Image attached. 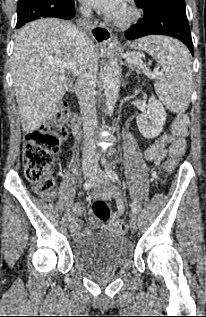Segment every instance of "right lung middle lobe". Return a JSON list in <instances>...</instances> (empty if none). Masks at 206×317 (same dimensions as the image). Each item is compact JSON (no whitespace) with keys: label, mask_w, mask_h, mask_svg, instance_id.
<instances>
[{"label":"right lung middle lobe","mask_w":206,"mask_h":317,"mask_svg":"<svg viewBox=\"0 0 206 317\" xmlns=\"http://www.w3.org/2000/svg\"><path fill=\"white\" fill-rule=\"evenodd\" d=\"M72 1L73 0H18L16 28H20L26 22L42 17H57V10H59L61 6H67Z\"/></svg>","instance_id":"dd1d6c3e"}]
</instances>
